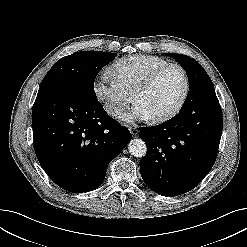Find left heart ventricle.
Listing matches in <instances>:
<instances>
[{
    "label": "left heart ventricle",
    "instance_id": "obj_1",
    "mask_svg": "<svg viewBox=\"0 0 247 247\" xmlns=\"http://www.w3.org/2000/svg\"><path fill=\"white\" fill-rule=\"evenodd\" d=\"M183 89L184 78L181 71L177 68H170L138 96L137 103L141 104L152 117H155L173 108Z\"/></svg>",
    "mask_w": 247,
    "mask_h": 247
}]
</instances>
